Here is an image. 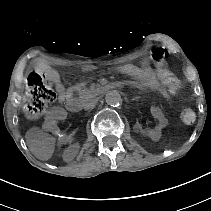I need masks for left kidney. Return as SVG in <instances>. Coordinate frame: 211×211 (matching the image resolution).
I'll return each instance as SVG.
<instances>
[{
  "instance_id": "1",
  "label": "left kidney",
  "mask_w": 211,
  "mask_h": 211,
  "mask_svg": "<svg viewBox=\"0 0 211 211\" xmlns=\"http://www.w3.org/2000/svg\"><path fill=\"white\" fill-rule=\"evenodd\" d=\"M155 125L148 126L144 122H137L134 125L135 132L144 135L146 138H154L163 135L172 125L171 118L167 117L162 109L153 107L150 110Z\"/></svg>"
}]
</instances>
